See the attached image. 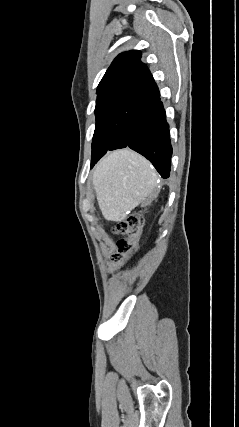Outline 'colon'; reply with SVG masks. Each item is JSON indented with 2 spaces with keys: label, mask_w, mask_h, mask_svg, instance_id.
Returning <instances> with one entry per match:
<instances>
[{
  "label": "colon",
  "mask_w": 239,
  "mask_h": 427,
  "mask_svg": "<svg viewBox=\"0 0 239 427\" xmlns=\"http://www.w3.org/2000/svg\"><path fill=\"white\" fill-rule=\"evenodd\" d=\"M143 225V215L135 213L114 228V232L120 235L121 238L118 242V253L112 255L113 262H121L127 255L131 254L135 250Z\"/></svg>",
  "instance_id": "5ec220e1"
}]
</instances>
